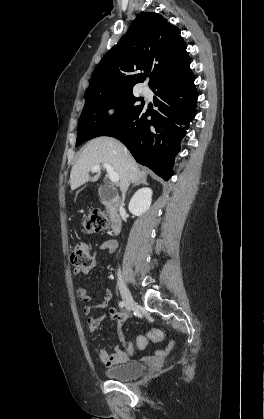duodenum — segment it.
Returning a JSON list of instances; mask_svg holds the SVG:
<instances>
[{
  "mask_svg": "<svg viewBox=\"0 0 264 419\" xmlns=\"http://www.w3.org/2000/svg\"><path fill=\"white\" fill-rule=\"evenodd\" d=\"M101 198L110 210L111 233L117 235L122 227V216L119 212L120 198L114 193H102Z\"/></svg>",
  "mask_w": 264,
  "mask_h": 419,
  "instance_id": "410a0bca",
  "label": "duodenum"
}]
</instances>
